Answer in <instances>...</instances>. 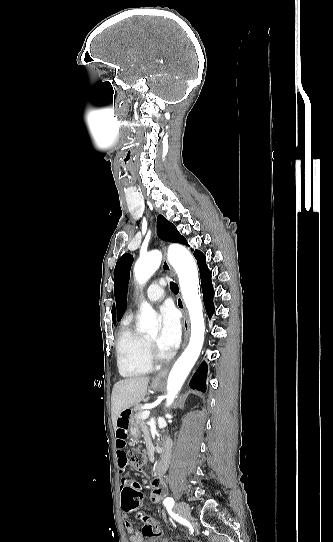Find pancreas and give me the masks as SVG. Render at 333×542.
<instances>
[{"instance_id": "obj_1", "label": "pancreas", "mask_w": 333, "mask_h": 542, "mask_svg": "<svg viewBox=\"0 0 333 542\" xmlns=\"http://www.w3.org/2000/svg\"><path fill=\"white\" fill-rule=\"evenodd\" d=\"M134 412L135 414L134 416H132V420H134L135 424H138L142 432H144V430H147V426L145 424V420H143L141 416H142V412H145V410H140V406H138V408H135Z\"/></svg>"}]
</instances>
